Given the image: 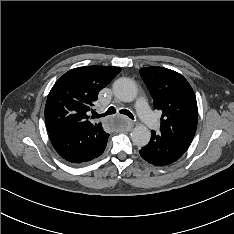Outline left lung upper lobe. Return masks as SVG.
<instances>
[{
  "mask_svg": "<svg viewBox=\"0 0 234 234\" xmlns=\"http://www.w3.org/2000/svg\"><path fill=\"white\" fill-rule=\"evenodd\" d=\"M153 98L154 108L162 111L160 133L185 151L197 128L196 96L188 81L179 73L158 66L140 69Z\"/></svg>",
  "mask_w": 234,
  "mask_h": 234,
  "instance_id": "1",
  "label": "left lung upper lobe"
}]
</instances>
